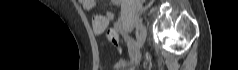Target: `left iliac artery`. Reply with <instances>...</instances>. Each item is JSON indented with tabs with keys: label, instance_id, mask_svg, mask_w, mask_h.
I'll list each match as a JSON object with an SVG mask.
<instances>
[{
	"label": "left iliac artery",
	"instance_id": "left-iliac-artery-1",
	"mask_svg": "<svg viewBox=\"0 0 238 70\" xmlns=\"http://www.w3.org/2000/svg\"><path fill=\"white\" fill-rule=\"evenodd\" d=\"M140 28H141V25H140V24H137V25H136V30L138 31Z\"/></svg>",
	"mask_w": 238,
	"mask_h": 70
}]
</instances>
